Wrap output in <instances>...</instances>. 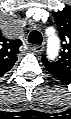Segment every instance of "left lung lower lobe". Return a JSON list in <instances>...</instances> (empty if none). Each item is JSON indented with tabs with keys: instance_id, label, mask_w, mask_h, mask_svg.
Wrapping results in <instances>:
<instances>
[{
	"instance_id": "1",
	"label": "left lung lower lobe",
	"mask_w": 71,
	"mask_h": 119,
	"mask_svg": "<svg viewBox=\"0 0 71 119\" xmlns=\"http://www.w3.org/2000/svg\"><path fill=\"white\" fill-rule=\"evenodd\" d=\"M46 69L58 80L65 82V83H71V72L68 71H62L55 68L46 67Z\"/></svg>"
}]
</instances>
